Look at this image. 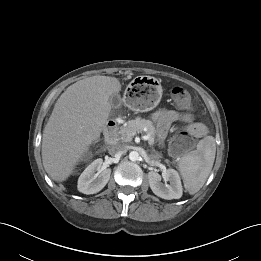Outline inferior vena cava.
Listing matches in <instances>:
<instances>
[{"mask_svg":"<svg viewBox=\"0 0 261 261\" xmlns=\"http://www.w3.org/2000/svg\"><path fill=\"white\" fill-rule=\"evenodd\" d=\"M126 152H127V148L121 144L111 146L109 149V153L115 157H121Z\"/></svg>","mask_w":261,"mask_h":261,"instance_id":"602c4592","label":"inferior vena cava"}]
</instances>
